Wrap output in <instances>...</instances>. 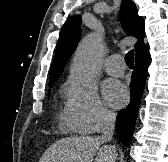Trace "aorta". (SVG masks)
Returning <instances> with one entry per match:
<instances>
[{"mask_svg":"<svg viewBox=\"0 0 168 162\" xmlns=\"http://www.w3.org/2000/svg\"><path fill=\"white\" fill-rule=\"evenodd\" d=\"M103 55V42L97 33H90L78 46L71 68L74 80L89 85L97 73Z\"/></svg>","mask_w":168,"mask_h":162,"instance_id":"aorta-1","label":"aorta"}]
</instances>
